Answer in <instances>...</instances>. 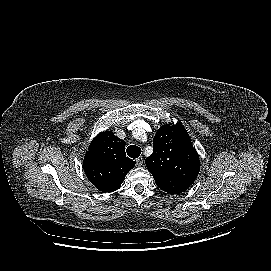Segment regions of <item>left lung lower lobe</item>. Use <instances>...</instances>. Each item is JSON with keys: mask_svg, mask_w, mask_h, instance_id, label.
<instances>
[{"mask_svg": "<svg viewBox=\"0 0 271 271\" xmlns=\"http://www.w3.org/2000/svg\"><path fill=\"white\" fill-rule=\"evenodd\" d=\"M178 183H179V187H180L179 190H180L181 192L185 191V190L188 189L189 186H190V185H188V184L185 183V182H178ZM181 192H180V193H181Z\"/></svg>", "mask_w": 271, "mask_h": 271, "instance_id": "obj_1", "label": "left lung lower lobe"}]
</instances>
